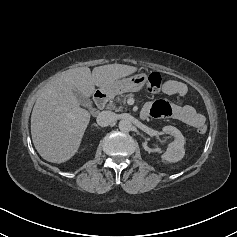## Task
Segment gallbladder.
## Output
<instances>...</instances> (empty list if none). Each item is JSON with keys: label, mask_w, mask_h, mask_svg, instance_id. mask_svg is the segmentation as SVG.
Returning a JSON list of instances; mask_svg holds the SVG:
<instances>
[{"label": "gallbladder", "mask_w": 237, "mask_h": 237, "mask_svg": "<svg viewBox=\"0 0 237 237\" xmlns=\"http://www.w3.org/2000/svg\"><path fill=\"white\" fill-rule=\"evenodd\" d=\"M74 95L76 96V99L78 100V102L83 105V106H90L91 102L89 100V98H87L86 96H84L81 92L79 91H74Z\"/></svg>", "instance_id": "1"}]
</instances>
